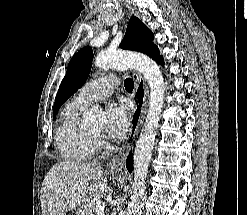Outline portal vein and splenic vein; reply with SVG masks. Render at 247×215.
<instances>
[{"mask_svg":"<svg viewBox=\"0 0 247 215\" xmlns=\"http://www.w3.org/2000/svg\"><path fill=\"white\" fill-rule=\"evenodd\" d=\"M105 203H99L98 206L96 207V214L97 215H103V210H104Z\"/></svg>","mask_w":247,"mask_h":215,"instance_id":"portal-vein-and-splenic-vein-1","label":"portal vein and splenic vein"}]
</instances>
